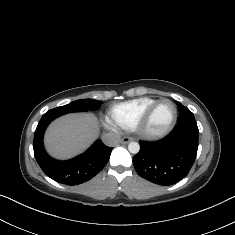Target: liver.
Returning <instances> with one entry per match:
<instances>
[{
    "label": "liver",
    "mask_w": 235,
    "mask_h": 235,
    "mask_svg": "<svg viewBox=\"0 0 235 235\" xmlns=\"http://www.w3.org/2000/svg\"><path fill=\"white\" fill-rule=\"evenodd\" d=\"M98 122L93 114H72L56 120L49 127L45 143L55 157H71L98 135Z\"/></svg>",
    "instance_id": "liver-1"
}]
</instances>
